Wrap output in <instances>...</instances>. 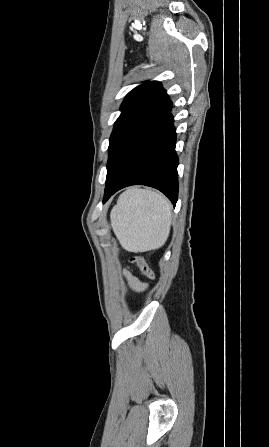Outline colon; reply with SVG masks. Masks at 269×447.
<instances>
[{
  "instance_id": "1",
  "label": "colon",
  "mask_w": 269,
  "mask_h": 447,
  "mask_svg": "<svg viewBox=\"0 0 269 447\" xmlns=\"http://www.w3.org/2000/svg\"><path fill=\"white\" fill-rule=\"evenodd\" d=\"M140 272L150 281L156 280V274L154 269L148 264L146 259L142 255H134L130 259Z\"/></svg>"
}]
</instances>
